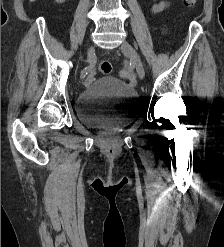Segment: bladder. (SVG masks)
Here are the masks:
<instances>
[{
	"label": "bladder",
	"mask_w": 224,
	"mask_h": 247,
	"mask_svg": "<svg viewBox=\"0 0 224 247\" xmlns=\"http://www.w3.org/2000/svg\"><path fill=\"white\" fill-rule=\"evenodd\" d=\"M138 107L137 92L112 77L95 80L76 102L78 118L88 126L105 131H116L129 125Z\"/></svg>",
	"instance_id": "31cf9c89"
}]
</instances>
